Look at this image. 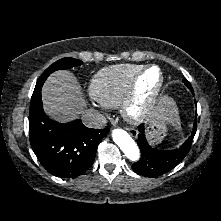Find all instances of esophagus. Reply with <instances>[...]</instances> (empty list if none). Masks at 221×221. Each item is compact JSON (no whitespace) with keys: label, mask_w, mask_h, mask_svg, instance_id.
I'll return each instance as SVG.
<instances>
[{"label":"esophagus","mask_w":221,"mask_h":221,"mask_svg":"<svg viewBox=\"0 0 221 221\" xmlns=\"http://www.w3.org/2000/svg\"><path fill=\"white\" fill-rule=\"evenodd\" d=\"M128 131H129V133L131 134V136L132 137H134V138H136L137 137V135H138V133H137V131L136 130H132V129H127Z\"/></svg>","instance_id":"1"}]
</instances>
